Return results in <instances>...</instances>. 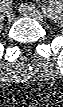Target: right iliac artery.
Here are the masks:
<instances>
[{"label":"right iliac artery","mask_w":63,"mask_h":107,"mask_svg":"<svg viewBox=\"0 0 63 107\" xmlns=\"http://www.w3.org/2000/svg\"><path fill=\"white\" fill-rule=\"evenodd\" d=\"M5 1H6L5 2L6 6L10 9L11 1H9V0H5Z\"/></svg>","instance_id":"obj_1"}]
</instances>
